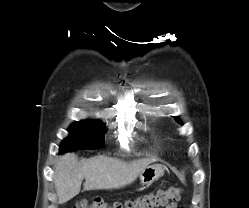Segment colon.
<instances>
[{"label":"colon","mask_w":249,"mask_h":208,"mask_svg":"<svg viewBox=\"0 0 249 208\" xmlns=\"http://www.w3.org/2000/svg\"><path fill=\"white\" fill-rule=\"evenodd\" d=\"M181 193L180 187H169L125 202L109 204L102 199L91 202L82 200L74 208H157L180 200Z\"/></svg>","instance_id":"1"}]
</instances>
